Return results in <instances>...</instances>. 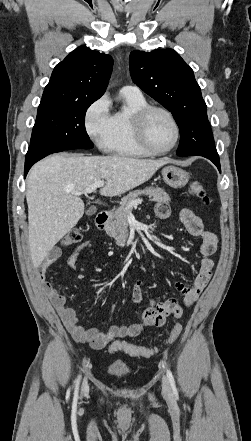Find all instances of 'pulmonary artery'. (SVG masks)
Wrapping results in <instances>:
<instances>
[{"label":"pulmonary artery","mask_w":251,"mask_h":441,"mask_svg":"<svg viewBox=\"0 0 251 441\" xmlns=\"http://www.w3.org/2000/svg\"><path fill=\"white\" fill-rule=\"evenodd\" d=\"M121 91L141 93L140 89L135 85H125L122 87Z\"/></svg>","instance_id":"e3ab8cb5"}]
</instances>
